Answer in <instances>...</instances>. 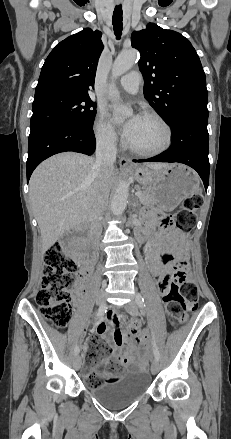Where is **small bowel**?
Here are the masks:
<instances>
[{
	"mask_svg": "<svg viewBox=\"0 0 231 439\" xmlns=\"http://www.w3.org/2000/svg\"><path fill=\"white\" fill-rule=\"evenodd\" d=\"M149 233V231H144L143 233L139 234V237L143 238ZM155 236L159 240V243L149 246L147 256L151 264V271L153 275L156 277H160L158 279V288L161 293H164L166 289L165 287L168 285L169 282L168 275L172 271V266L169 264H163L162 260L168 259L170 257L173 248L172 246H164L162 244L161 241L164 238L163 234H156ZM177 238L182 240V237L180 236H178ZM84 270L87 271L86 268H84ZM80 289L81 286H78V290ZM110 315L111 317L108 325L104 323L98 325L97 331L99 335L113 345L114 357L118 359L123 365H125L130 370L139 368L142 363L134 361V357L138 354L137 346L144 350L147 349V337L145 335H125L120 330L118 321L114 316L113 311H111ZM134 324L138 325V323ZM126 339H129L130 341L129 346L127 349H123V345ZM109 361V359H106L102 363V365L95 368L93 372L106 375L107 371L105 370V365Z\"/></svg>",
	"mask_w": 231,
	"mask_h": 439,
	"instance_id": "1",
	"label": "small bowel"
}]
</instances>
